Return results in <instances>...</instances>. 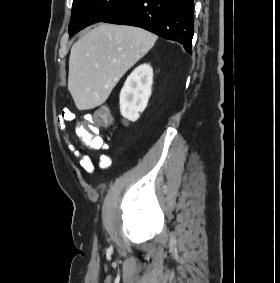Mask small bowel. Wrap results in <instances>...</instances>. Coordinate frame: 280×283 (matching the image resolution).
I'll list each match as a JSON object with an SVG mask.
<instances>
[{
	"instance_id": "obj_1",
	"label": "small bowel",
	"mask_w": 280,
	"mask_h": 283,
	"mask_svg": "<svg viewBox=\"0 0 280 283\" xmlns=\"http://www.w3.org/2000/svg\"><path fill=\"white\" fill-rule=\"evenodd\" d=\"M74 118V114L72 112L64 111L61 115H59L57 119L58 126L65 131L64 139L65 143L69 149V151L79 159V166L86 174H92L95 169V164L93 159L83 154L71 141L70 135L66 132L67 123ZM102 148H105L104 146ZM88 150L90 152H96L99 149H95L88 146ZM111 164V156L108 153H103L99 156L98 167L100 170H104L108 168Z\"/></svg>"
}]
</instances>
